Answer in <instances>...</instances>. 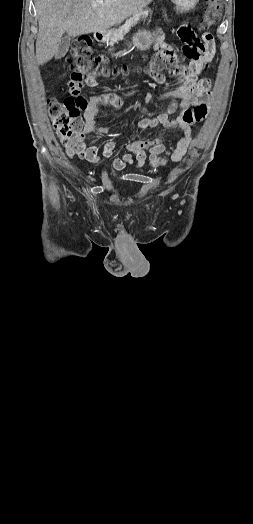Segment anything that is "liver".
<instances>
[{"mask_svg":"<svg viewBox=\"0 0 253 524\" xmlns=\"http://www.w3.org/2000/svg\"><path fill=\"white\" fill-rule=\"evenodd\" d=\"M153 0H35L39 31L36 59L39 65L50 61L64 38L110 27L141 11ZM96 3L98 7L93 8ZM66 37V36H65Z\"/></svg>","mask_w":253,"mask_h":524,"instance_id":"obj_1","label":"liver"}]
</instances>
